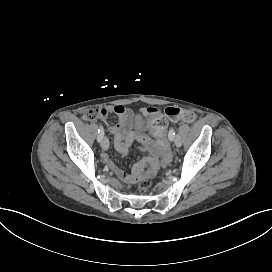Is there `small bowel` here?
Here are the masks:
<instances>
[{
	"mask_svg": "<svg viewBox=\"0 0 272 272\" xmlns=\"http://www.w3.org/2000/svg\"><path fill=\"white\" fill-rule=\"evenodd\" d=\"M110 112L116 115V122L109 123L106 118L104 122L111 133L114 141V146L117 152L123 156L127 155L130 150V143L134 140H138L142 144L141 151L146 157L134 164L132 172L126 173L121 170L109 156L104 155L103 161L108 170L113 172L116 176L119 171L124 173L122 178H119L126 184H136L144 175L148 165L155 164L159 157L160 151L157 143L145 132L141 130L134 131L131 127V120L134 112L131 109H127L124 106L116 105L109 109ZM140 112H143L142 110Z\"/></svg>",
	"mask_w": 272,
	"mask_h": 272,
	"instance_id": "c3829d8e",
	"label": "small bowel"
}]
</instances>
